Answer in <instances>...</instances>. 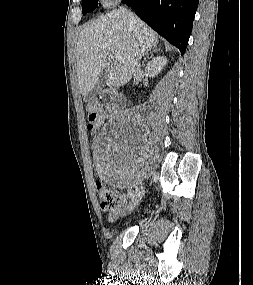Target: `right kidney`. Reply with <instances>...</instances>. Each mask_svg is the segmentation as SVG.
Wrapping results in <instances>:
<instances>
[{"label":"right kidney","instance_id":"right-kidney-1","mask_svg":"<svg viewBox=\"0 0 253 285\" xmlns=\"http://www.w3.org/2000/svg\"><path fill=\"white\" fill-rule=\"evenodd\" d=\"M167 63V58L164 56H157L153 58L146 67V77H155L161 72Z\"/></svg>","mask_w":253,"mask_h":285}]
</instances>
